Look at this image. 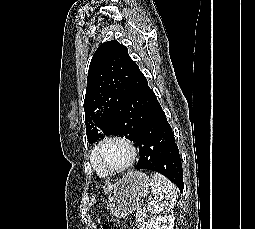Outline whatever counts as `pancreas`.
Returning a JSON list of instances; mask_svg holds the SVG:
<instances>
[{
	"mask_svg": "<svg viewBox=\"0 0 255 229\" xmlns=\"http://www.w3.org/2000/svg\"><path fill=\"white\" fill-rule=\"evenodd\" d=\"M146 212L145 211H138L136 213V218H135V221H136V226L138 228H140L142 226V224H144L145 222V218H146Z\"/></svg>",
	"mask_w": 255,
	"mask_h": 229,
	"instance_id": "1",
	"label": "pancreas"
}]
</instances>
